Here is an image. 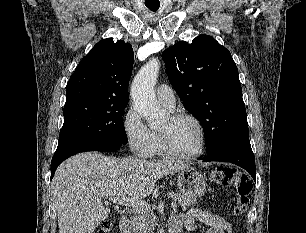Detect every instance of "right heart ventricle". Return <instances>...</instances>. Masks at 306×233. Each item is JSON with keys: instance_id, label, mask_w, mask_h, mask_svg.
<instances>
[{"instance_id": "right-heart-ventricle-1", "label": "right heart ventricle", "mask_w": 306, "mask_h": 233, "mask_svg": "<svg viewBox=\"0 0 306 233\" xmlns=\"http://www.w3.org/2000/svg\"><path fill=\"white\" fill-rule=\"evenodd\" d=\"M155 153H157V154H163L164 153L159 133H156V151H155Z\"/></svg>"}]
</instances>
